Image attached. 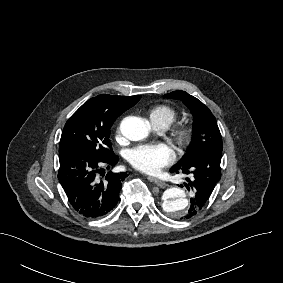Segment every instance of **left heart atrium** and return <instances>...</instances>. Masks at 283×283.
I'll list each match as a JSON object with an SVG mask.
<instances>
[{
    "label": "left heart atrium",
    "instance_id": "39dd6f15",
    "mask_svg": "<svg viewBox=\"0 0 283 283\" xmlns=\"http://www.w3.org/2000/svg\"><path fill=\"white\" fill-rule=\"evenodd\" d=\"M176 158L174 150L165 143L140 145L130 150L128 160L137 170L155 175Z\"/></svg>",
    "mask_w": 283,
    "mask_h": 283
}]
</instances>
